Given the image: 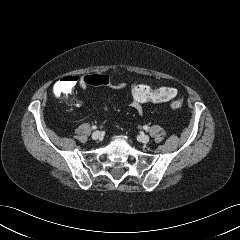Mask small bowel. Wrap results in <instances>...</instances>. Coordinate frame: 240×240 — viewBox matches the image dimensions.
Instances as JSON below:
<instances>
[{
	"instance_id": "obj_1",
	"label": "small bowel",
	"mask_w": 240,
	"mask_h": 240,
	"mask_svg": "<svg viewBox=\"0 0 240 240\" xmlns=\"http://www.w3.org/2000/svg\"><path fill=\"white\" fill-rule=\"evenodd\" d=\"M75 104H79V103H75ZM130 105L131 107L138 113V114H142L143 113V107H142V104L136 102L135 100H133L131 98V101H130Z\"/></svg>"
}]
</instances>
